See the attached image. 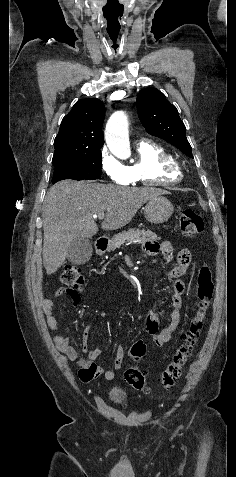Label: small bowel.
Here are the masks:
<instances>
[{"mask_svg":"<svg viewBox=\"0 0 236 477\" xmlns=\"http://www.w3.org/2000/svg\"><path fill=\"white\" fill-rule=\"evenodd\" d=\"M174 245L171 241H163L161 243L147 242L144 245V252L149 256L161 255L166 261H170L174 256ZM191 262V253L188 249L184 248L178 252L177 265L168 273L170 279L173 282V291L170 296V302L172 310L169 314V320L167 325L163 329H159V320L155 313H149L145 320V330L152 336L154 345L158 348L163 347L171 339L172 334L178 328L182 314L181 308L183 305V294L185 292L184 284L178 279L183 276ZM63 289H58L54 293L55 298H59L64 295ZM115 295V289H112L109 293L110 298ZM71 300L73 304H78L80 297L72 294ZM41 308L46 317L47 325L50 330L56 331L58 329V321L54 314V300L44 299L41 303ZM92 332L91 326H86L82 334V349L85 353V357H81L79 352L70 344V341L63 334L56 333L53 335V341L58 350L63 353L69 360L77 361L80 369L78 372L79 379L86 383L95 378L103 377L106 380H112L115 374L112 370H105L95 363V360L100 356L101 349L89 348V337ZM125 348L118 346L115 351V357L113 360V366L115 369H119L124 360Z\"/></svg>","mask_w":236,"mask_h":477,"instance_id":"1","label":"small bowel"}]
</instances>
